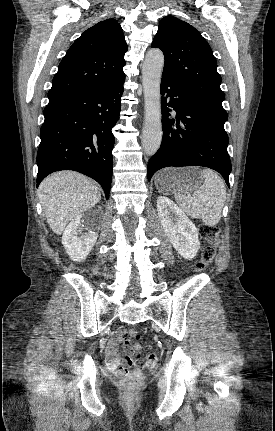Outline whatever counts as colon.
<instances>
[{
    "instance_id": "colon-1",
    "label": "colon",
    "mask_w": 275,
    "mask_h": 431,
    "mask_svg": "<svg viewBox=\"0 0 275 431\" xmlns=\"http://www.w3.org/2000/svg\"><path fill=\"white\" fill-rule=\"evenodd\" d=\"M200 235L206 239L210 244L204 248L202 259L197 263L196 269L199 271L205 270L215 257V248L219 241V228L216 226L201 223L199 225ZM127 338L140 339V335L135 330L127 332ZM134 353H140V345L135 344L132 347ZM158 362L155 354L150 353L146 356L145 361L137 360L134 364L123 363L117 368V374L122 378V386L127 391H137L143 385V369L145 367H154Z\"/></svg>"
}]
</instances>
